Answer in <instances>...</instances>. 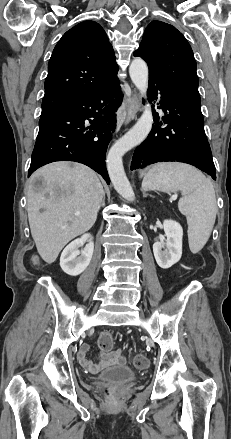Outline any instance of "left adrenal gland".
Returning a JSON list of instances; mask_svg holds the SVG:
<instances>
[{
    "label": "left adrenal gland",
    "mask_w": 231,
    "mask_h": 439,
    "mask_svg": "<svg viewBox=\"0 0 231 439\" xmlns=\"http://www.w3.org/2000/svg\"><path fill=\"white\" fill-rule=\"evenodd\" d=\"M143 195L146 197L147 196V194H145V192H143Z\"/></svg>",
    "instance_id": "obj_1"
}]
</instances>
